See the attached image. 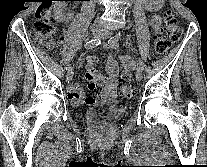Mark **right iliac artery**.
Masks as SVG:
<instances>
[{
    "label": "right iliac artery",
    "mask_w": 207,
    "mask_h": 167,
    "mask_svg": "<svg viewBox=\"0 0 207 167\" xmlns=\"http://www.w3.org/2000/svg\"><path fill=\"white\" fill-rule=\"evenodd\" d=\"M101 41H102L101 38L92 39V40L86 42L85 45H84V47L86 49H92V48L100 45ZM70 68H71V66L68 65L66 69L69 70Z\"/></svg>",
    "instance_id": "1"
}]
</instances>
